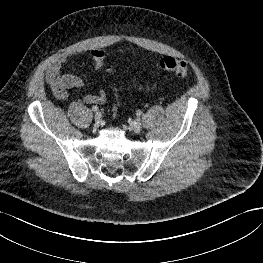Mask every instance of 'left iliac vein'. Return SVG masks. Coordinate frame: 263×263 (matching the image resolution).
Here are the masks:
<instances>
[{
    "mask_svg": "<svg viewBox=\"0 0 263 263\" xmlns=\"http://www.w3.org/2000/svg\"><path fill=\"white\" fill-rule=\"evenodd\" d=\"M130 127L131 129L138 133L141 131V123L139 121H133L131 124H130Z\"/></svg>",
    "mask_w": 263,
    "mask_h": 263,
    "instance_id": "obj_1",
    "label": "left iliac vein"
}]
</instances>
